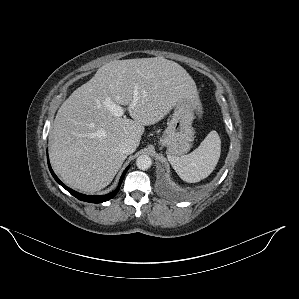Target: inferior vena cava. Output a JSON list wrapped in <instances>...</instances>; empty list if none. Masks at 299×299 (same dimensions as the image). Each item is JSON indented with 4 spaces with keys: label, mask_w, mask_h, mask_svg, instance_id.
Returning <instances> with one entry per match:
<instances>
[{
    "label": "inferior vena cava",
    "mask_w": 299,
    "mask_h": 299,
    "mask_svg": "<svg viewBox=\"0 0 299 299\" xmlns=\"http://www.w3.org/2000/svg\"><path fill=\"white\" fill-rule=\"evenodd\" d=\"M119 147L120 151L127 155L132 154L136 150V144L131 139L121 141Z\"/></svg>",
    "instance_id": "inferior-vena-cava-1"
}]
</instances>
